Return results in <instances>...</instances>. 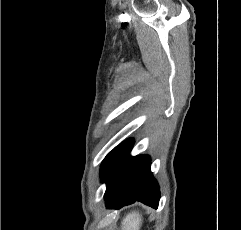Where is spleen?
I'll list each match as a JSON object with an SVG mask.
<instances>
[{"instance_id":"spleen-1","label":"spleen","mask_w":241,"mask_h":230,"mask_svg":"<svg viewBox=\"0 0 241 230\" xmlns=\"http://www.w3.org/2000/svg\"><path fill=\"white\" fill-rule=\"evenodd\" d=\"M142 222V217L138 212H131L122 220V230H139Z\"/></svg>"}]
</instances>
